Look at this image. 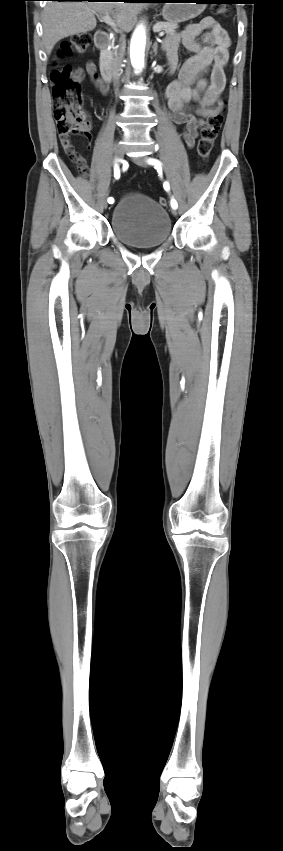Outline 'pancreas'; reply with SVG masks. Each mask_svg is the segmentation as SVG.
Segmentation results:
<instances>
[{
	"label": "pancreas",
	"instance_id": "pancreas-1",
	"mask_svg": "<svg viewBox=\"0 0 283 851\" xmlns=\"http://www.w3.org/2000/svg\"><path fill=\"white\" fill-rule=\"evenodd\" d=\"M177 28H178V24H177V23H170V22H157V23L154 25L153 30H154V31H164L167 35H174V34H175V32H176V29H177ZM116 53H117V50L113 47V50H111V51H108V52H107V59H108L109 61H112V60H113V56H114Z\"/></svg>",
	"mask_w": 283,
	"mask_h": 851
}]
</instances>
